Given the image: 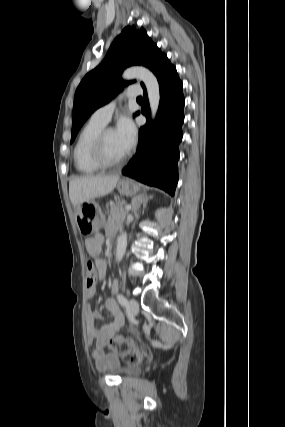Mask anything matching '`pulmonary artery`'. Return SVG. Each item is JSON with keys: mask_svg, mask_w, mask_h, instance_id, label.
Listing matches in <instances>:
<instances>
[{"mask_svg": "<svg viewBox=\"0 0 285 427\" xmlns=\"http://www.w3.org/2000/svg\"><path fill=\"white\" fill-rule=\"evenodd\" d=\"M142 88L139 85H130L125 92L120 95L117 99L112 100L111 102L98 108L93 114L92 117L94 120H97L101 123L107 124L112 116V113L116 107L117 101L122 97L126 98H136L142 95Z\"/></svg>", "mask_w": 285, "mask_h": 427, "instance_id": "pulmonary-artery-1", "label": "pulmonary artery"}]
</instances>
